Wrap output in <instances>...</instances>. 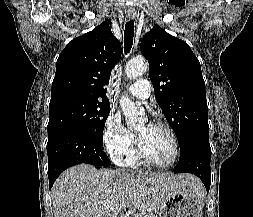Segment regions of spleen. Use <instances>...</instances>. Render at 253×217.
<instances>
[{"mask_svg": "<svg viewBox=\"0 0 253 217\" xmlns=\"http://www.w3.org/2000/svg\"><path fill=\"white\" fill-rule=\"evenodd\" d=\"M200 199H201V201H202L203 204H204V196H202Z\"/></svg>", "mask_w": 253, "mask_h": 217, "instance_id": "obj_1", "label": "spleen"}]
</instances>
